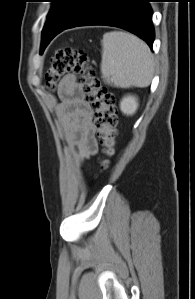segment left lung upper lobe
I'll return each instance as SVG.
<instances>
[{
  "mask_svg": "<svg viewBox=\"0 0 195 299\" xmlns=\"http://www.w3.org/2000/svg\"><path fill=\"white\" fill-rule=\"evenodd\" d=\"M53 5L47 15L42 32L41 51L49 43L52 31L68 26L82 11L88 0H51Z\"/></svg>",
  "mask_w": 195,
  "mask_h": 299,
  "instance_id": "left-lung-upper-lobe-1",
  "label": "left lung upper lobe"
}]
</instances>
